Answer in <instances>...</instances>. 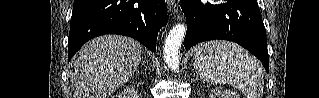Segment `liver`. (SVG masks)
I'll return each instance as SVG.
<instances>
[{"instance_id":"1","label":"liver","mask_w":319,"mask_h":98,"mask_svg":"<svg viewBox=\"0 0 319 98\" xmlns=\"http://www.w3.org/2000/svg\"><path fill=\"white\" fill-rule=\"evenodd\" d=\"M141 54V44L129 37L106 35L87 42L70 62L74 98H107L133 76Z\"/></svg>"}]
</instances>
